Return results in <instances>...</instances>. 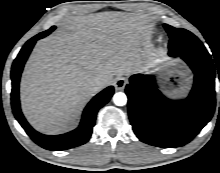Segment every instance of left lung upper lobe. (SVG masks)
<instances>
[{
    "label": "left lung upper lobe",
    "mask_w": 220,
    "mask_h": 173,
    "mask_svg": "<svg viewBox=\"0 0 220 173\" xmlns=\"http://www.w3.org/2000/svg\"><path fill=\"white\" fill-rule=\"evenodd\" d=\"M170 36L169 51H172L174 56H178L183 52L187 53H208L202 42L191 32L174 28L169 25H164Z\"/></svg>",
    "instance_id": "5c2ea615"
}]
</instances>
